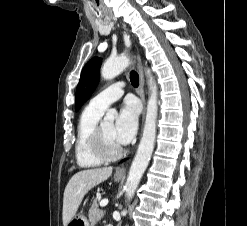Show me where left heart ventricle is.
Here are the masks:
<instances>
[{
    "label": "left heart ventricle",
    "instance_id": "b2bd125f",
    "mask_svg": "<svg viewBox=\"0 0 247 226\" xmlns=\"http://www.w3.org/2000/svg\"><path fill=\"white\" fill-rule=\"evenodd\" d=\"M102 132L104 138V144L108 152L112 153L117 151L121 145L118 144L114 137V125L113 123H104L102 125Z\"/></svg>",
    "mask_w": 247,
    "mask_h": 226
}]
</instances>
